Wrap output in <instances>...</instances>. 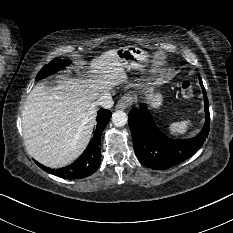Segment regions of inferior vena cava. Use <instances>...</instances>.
<instances>
[{
  "label": "inferior vena cava",
  "instance_id": "inferior-vena-cava-1",
  "mask_svg": "<svg viewBox=\"0 0 233 233\" xmlns=\"http://www.w3.org/2000/svg\"><path fill=\"white\" fill-rule=\"evenodd\" d=\"M96 104L101 106L102 108L109 109L113 106L114 102L110 94H105L100 96Z\"/></svg>",
  "mask_w": 233,
  "mask_h": 233
}]
</instances>
